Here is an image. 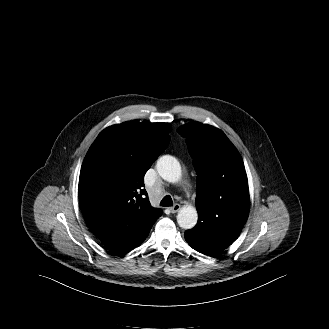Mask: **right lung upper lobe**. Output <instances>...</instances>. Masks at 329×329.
<instances>
[{"instance_id": "cb5924a9", "label": "right lung upper lobe", "mask_w": 329, "mask_h": 329, "mask_svg": "<svg viewBox=\"0 0 329 329\" xmlns=\"http://www.w3.org/2000/svg\"><path fill=\"white\" fill-rule=\"evenodd\" d=\"M170 126L124 122L104 129L90 147L79 178L84 219L100 240L146 228L162 214L150 205L144 175L166 149Z\"/></svg>"}]
</instances>
